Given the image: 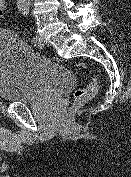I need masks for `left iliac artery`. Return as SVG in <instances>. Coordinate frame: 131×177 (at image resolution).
Listing matches in <instances>:
<instances>
[{
    "label": "left iliac artery",
    "instance_id": "left-iliac-artery-1",
    "mask_svg": "<svg viewBox=\"0 0 131 177\" xmlns=\"http://www.w3.org/2000/svg\"><path fill=\"white\" fill-rule=\"evenodd\" d=\"M21 11L23 13L24 16H27L28 13H29V9L24 7V8H21ZM32 43L34 44V46H37L38 45V39L36 36H32Z\"/></svg>",
    "mask_w": 131,
    "mask_h": 177
}]
</instances>
